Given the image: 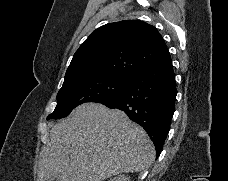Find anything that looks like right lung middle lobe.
Here are the masks:
<instances>
[{
  "label": "right lung middle lobe",
  "mask_w": 228,
  "mask_h": 181,
  "mask_svg": "<svg viewBox=\"0 0 228 181\" xmlns=\"http://www.w3.org/2000/svg\"><path fill=\"white\" fill-rule=\"evenodd\" d=\"M130 79L131 77L100 74L63 84L57 94V106L47 120L66 117L82 103L111 100L123 91Z\"/></svg>",
  "instance_id": "obj_1"
}]
</instances>
